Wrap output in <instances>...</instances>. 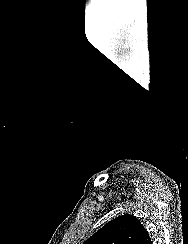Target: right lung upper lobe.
<instances>
[{"label": "right lung upper lobe", "mask_w": 188, "mask_h": 244, "mask_svg": "<svg viewBox=\"0 0 188 244\" xmlns=\"http://www.w3.org/2000/svg\"><path fill=\"white\" fill-rule=\"evenodd\" d=\"M84 244H152V241L141 222L125 214L108 222Z\"/></svg>", "instance_id": "obj_1"}]
</instances>
